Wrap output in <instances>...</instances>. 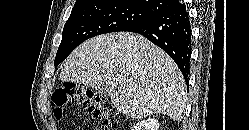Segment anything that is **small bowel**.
I'll return each instance as SVG.
<instances>
[{"mask_svg": "<svg viewBox=\"0 0 249 130\" xmlns=\"http://www.w3.org/2000/svg\"><path fill=\"white\" fill-rule=\"evenodd\" d=\"M91 130H100L99 128H92Z\"/></svg>", "mask_w": 249, "mask_h": 130, "instance_id": "obj_1", "label": "small bowel"}]
</instances>
